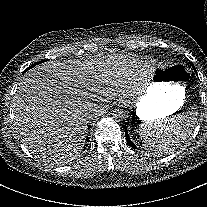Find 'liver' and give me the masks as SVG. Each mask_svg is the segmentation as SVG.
I'll return each instance as SVG.
<instances>
[{"label":"liver","instance_id":"1","mask_svg":"<svg viewBox=\"0 0 207 207\" xmlns=\"http://www.w3.org/2000/svg\"><path fill=\"white\" fill-rule=\"evenodd\" d=\"M95 67L46 62L22 77L13 99L15 132L26 147L46 154H76L85 147L87 123L97 110L86 100Z\"/></svg>","mask_w":207,"mask_h":207}]
</instances>
